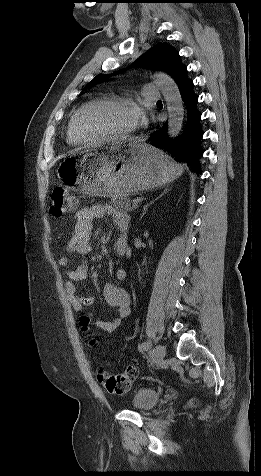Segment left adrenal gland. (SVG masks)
<instances>
[{
	"instance_id": "left-adrenal-gland-1",
	"label": "left adrenal gland",
	"mask_w": 261,
	"mask_h": 476,
	"mask_svg": "<svg viewBox=\"0 0 261 476\" xmlns=\"http://www.w3.org/2000/svg\"><path fill=\"white\" fill-rule=\"evenodd\" d=\"M168 191H169V189H165L158 197H156V198H155L154 200H152L150 203L146 204V205L144 206V208H143V212H142V214H141L140 219H142L143 216L146 214V211H147L148 207H149L150 205H152L156 200H158L159 198H161V197H162L164 194H166Z\"/></svg>"
}]
</instances>
